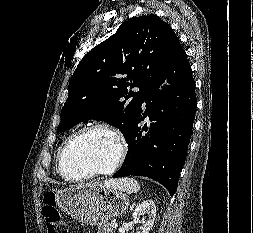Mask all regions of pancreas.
Wrapping results in <instances>:
<instances>
[{"label": "pancreas", "instance_id": "pancreas-1", "mask_svg": "<svg viewBox=\"0 0 253 233\" xmlns=\"http://www.w3.org/2000/svg\"><path fill=\"white\" fill-rule=\"evenodd\" d=\"M113 228L111 227V224L106 223L103 226L98 227L97 233H112Z\"/></svg>", "mask_w": 253, "mask_h": 233}]
</instances>
